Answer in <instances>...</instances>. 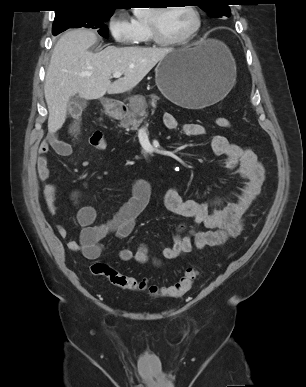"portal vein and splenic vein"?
Returning <instances> with one entry per match:
<instances>
[{
	"instance_id": "1",
	"label": "portal vein and splenic vein",
	"mask_w": 306,
	"mask_h": 387,
	"mask_svg": "<svg viewBox=\"0 0 306 387\" xmlns=\"http://www.w3.org/2000/svg\"><path fill=\"white\" fill-rule=\"evenodd\" d=\"M122 76V73L121 72H115L113 73V77L114 78H120Z\"/></svg>"
}]
</instances>
